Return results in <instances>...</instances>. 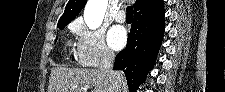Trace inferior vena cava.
Here are the masks:
<instances>
[{
	"label": "inferior vena cava",
	"mask_w": 225,
	"mask_h": 92,
	"mask_svg": "<svg viewBox=\"0 0 225 92\" xmlns=\"http://www.w3.org/2000/svg\"><path fill=\"white\" fill-rule=\"evenodd\" d=\"M113 63H114V54L108 49L103 50L101 62L98 69L109 76L111 83V91L119 92L117 86L118 85L117 72L112 69Z\"/></svg>",
	"instance_id": "inferior-vena-cava-1"
}]
</instances>
